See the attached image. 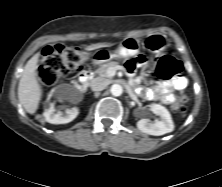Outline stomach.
I'll list each match as a JSON object with an SVG mask.
<instances>
[{
    "label": "stomach",
    "mask_w": 222,
    "mask_h": 187,
    "mask_svg": "<svg viewBox=\"0 0 222 187\" xmlns=\"http://www.w3.org/2000/svg\"><path fill=\"white\" fill-rule=\"evenodd\" d=\"M141 42L134 37L125 38L115 50L110 51L101 49L96 51L94 58L96 61L104 62L113 58H129L138 54L141 48ZM151 52H161L167 46V38L161 33H152L148 35L143 43Z\"/></svg>",
    "instance_id": "1"
}]
</instances>
